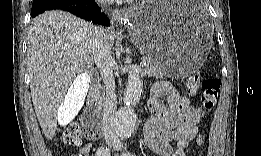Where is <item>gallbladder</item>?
Returning <instances> with one entry per match:
<instances>
[{
    "mask_svg": "<svg viewBox=\"0 0 261 156\" xmlns=\"http://www.w3.org/2000/svg\"><path fill=\"white\" fill-rule=\"evenodd\" d=\"M82 73L73 80L74 84L70 85V89L66 92L65 100L61 102L58 110L57 118L60 127H65L66 124L76 117V114L83 108V102L86 100L87 92L90 89L91 74Z\"/></svg>",
    "mask_w": 261,
    "mask_h": 156,
    "instance_id": "obj_1",
    "label": "gallbladder"
}]
</instances>
